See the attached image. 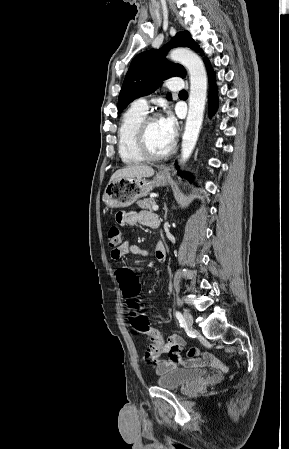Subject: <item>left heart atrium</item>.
Segmentation results:
<instances>
[{"label":"left heart atrium","instance_id":"1","mask_svg":"<svg viewBox=\"0 0 289 449\" xmlns=\"http://www.w3.org/2000/svg\"><path fill=\"white\" fill-rule=\"evenodd\" d=\"M162 125L168 134L174 139L176 135V120L171 114H167L161 119Z\"/></svg>","mask_w":289,"mask_h":449}]
</instances>
